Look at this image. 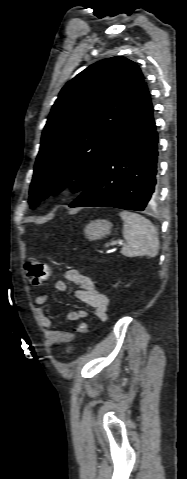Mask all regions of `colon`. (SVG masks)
I'll return each mask as SVG.
<instances>
[{"instance_id": "obj_1", "label": "colon", "mask_w": 187, "mask_h": 479, "mask_svg": "<svg viewBox=\"0 0 187 479\" xmlns=\"http://www.w3.org/2000/svg\"><path fill=\"white\" fill-rule=\"evenodd\" d=\"M24 268L27 273V279L32 285H40L49 276V266L41 260L30 257L24 263ZM75 333L79 337H84L88 333V324L81 322L75 329ZM77 347V343L71 344L67 349V354H71Z\"/></svg>"}]
</instances>
